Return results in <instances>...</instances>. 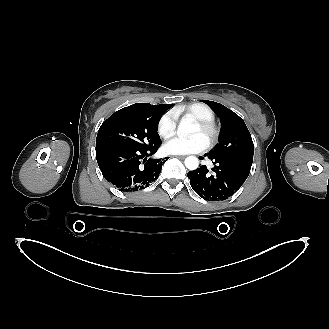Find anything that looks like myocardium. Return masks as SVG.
<instances>
[{
  "label": "myocardium",
  "mask_w": 329,
  "mask_h": 329,
  "mask_svg": "<svg viewBox=\"0 0 329 329\" xmlns=\"http://www.w3.org/2000/svg\"><path fill=\"white\" fill-rule=\"evenodd\" d=\"M195 124L208 135V146L215 145L220 136L219 126L211 120H195Z\"/></svg>",
  "instance_id": "obj_1"
}]
</instances>
